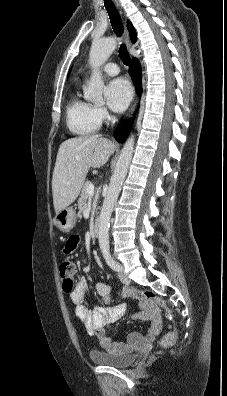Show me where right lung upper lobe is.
Listing matches in <instances>:
<instances>
[{
  "label": "right lung upper lobe",
  "instance_id": "right-lung-upper-lobe-1",
  "mask_svg": "<svg viewBox=\"0 0 227 396\" xmlns=\"http://www.w3.org/2000/svg\"><path fill=\"white\" fill-rule=\"evenodd\" d=\"M127 28L130 33L131 41L135 43L137 40L136 31L130 21H127Z\"/></svg>",
  "mask_w": 227,
  "mask_h": 396
}]
</instances>
